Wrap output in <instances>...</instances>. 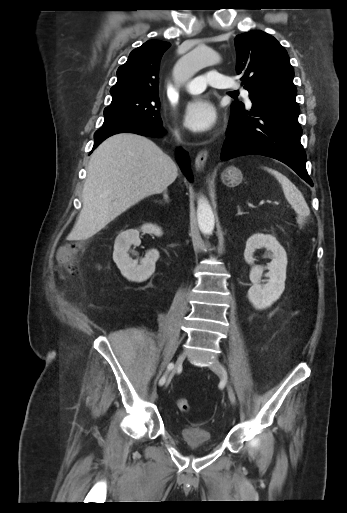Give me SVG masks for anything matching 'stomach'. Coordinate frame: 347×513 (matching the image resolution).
Wrapping results in <instances>:
<instances>
[{"instance_id": "1", "label": "stomach", "mask_w": 347, "mask_h": 513, "mask_svg": "<svg viewBox=\"0 0 347 513\" xmlns=\"http://www.w3.org/2000/svg\"><path fill=\"white\" fill-rule=\"evenodd\" d=\"M221 180L227 186L232 187L242 182L243 175L238 168L229 166L222 172Z\"/></svg>"}]
</instances>
